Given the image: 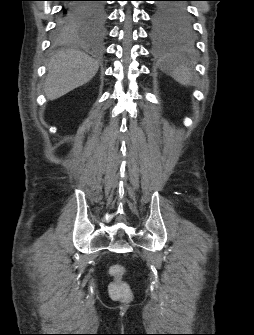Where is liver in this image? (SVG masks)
<instances>
[{
  "label": "liver",
  "mask_w": 254,
  "mask_h": 335,
  "mask_svg": "<svg viewBox=\"0 0 254 335\" xmlns=\"http://www.w3.org/2000/svg\"><path fill=\"white\" fill-rule=\"evenodd\" d=\"M98 62L75 49L61 50L50 60L45 94L55 100L89 82L97 73Z\"/></svg>",
  "instance_id": "liver-1"
}]
</instances>
